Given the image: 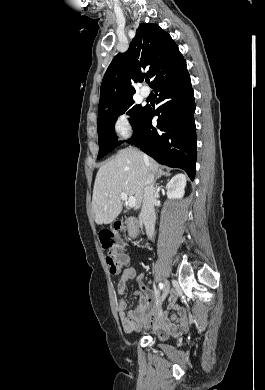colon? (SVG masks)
<instances>
[{"mask_svg":"<svg viewBox=\"0 0 265 390\" xmlns=\"http://www.w3.org/2000/svg\"><path fill=\"white\" fill-rule=\"evenodd\" d=\"M122 230L123 227L117 225L114 232L108 231L101 235L102 246L107 250L105 254L106 263L113 275L119 272L125 261V255L121 251L123 242L118 234Z\"/></svg>","mask_w":265,"mask_h":390,"instance_id":"colon-1","label":"colon"}]
</instances>
